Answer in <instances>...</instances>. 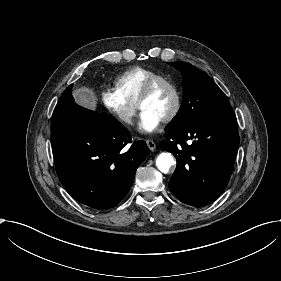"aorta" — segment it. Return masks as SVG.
<instances>
[{
	"label": "aorta",
	"mask_w": 281,
	"mask_h": 281,
	"mask_svg": "<svg viewBox=\"0 0 281 281\" xmlns=\"http://www.w3.org/2000/svg\"><path fill=\"white\" fill-rule=\"evenodd\" d=\"M176 164L171 153L162 152L156 158V166L162 173H167Z\"/></svg>",
	"instance_id": "1"
}]
</instances>
